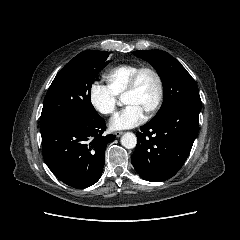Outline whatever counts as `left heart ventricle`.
<instances>
[{
	"label": "left heart ventricle",
	"instance_id": "left-heart-ventricle-1",
	"mask_svg": "<svg viewBox=\"0 0 240 240\" xmlns=\"http://www.w3.org/2000/svg\"><path fill=\"white\" fill-rule=\"evenodd\" d=\"M156 97V79L152 73L146 71L140 75L136 89L128 94L124 101L126 104L135 105L143 112H146L153 105Z\"/></svg>",
	"mask_w": 240,
	"mask_h": 240
}]
</instances>
